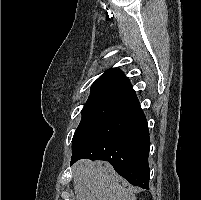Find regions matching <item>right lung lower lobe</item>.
<instances>
[{"label": "right lung lower lobe", "mask_w": 201, "mask_h": 200, "mask_svg": "<svg viewBox=\"0 0 201 200\" xmlns=\"http://www.w3.org/2000/svg\"><path fill=\"white\" fill-rule=\"evenodd\" d=\"M72 142L71 164L82 158L105 160L132 185L149 189L150 138L137 99L91 125Z\"/></svg>", "instance_id": "98d812e1"}]
</instances>
